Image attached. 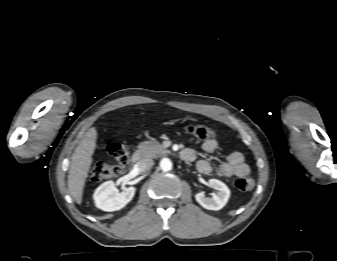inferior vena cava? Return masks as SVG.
I'll list each match as a JSON object with an SVG mask.
<instances>
[{"label":"inferior vena cava","instance_id":"602c4592","mask_svg":"<svg viewBox=\"0 0 337 261\" xmlns=\"http://www.w3.org/2000/svg\"><path fill=\"white\" fill-rule=\"evenodd\" d=\"M154 164V161L150 158H143L137 162V167L141 172L149 170Z\"/></svg>","mask_w":337,"mask_h":261}]
</instances>
